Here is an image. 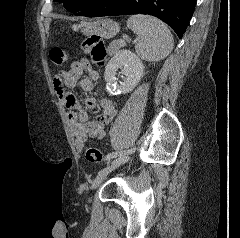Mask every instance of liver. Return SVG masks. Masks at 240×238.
Wrapping results in <instances>:
<instances>
[{"mask_svg":"<svg viewBox=\"0 0 240 238\" xmlns=\"http://www.w3.org/2000/svg\"><path fill=\"white\" fill-rule=\"evenodd\" d=\"M81 26H82V24H80V25H73L72 29L78 30V29H80Z\"/></svg>","mask_w":240,"mask_h":238,"instance_id":"6515ba94","label":"liver"}]
</instances>
